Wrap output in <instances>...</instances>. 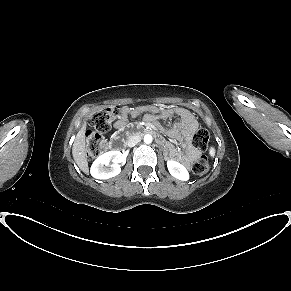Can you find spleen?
<instances>
[{
  "mask_svg": "<svg viewBox=\"0 0 291 291\" xmlns=\"http://www.w3.org/2000/svg\"><path fill=\"white\" fill-rule=\"evenodd\" d=\"M210 155H211V156H214V155H215V149H214V148H211V149H210Z\"/></svg>",
  "mask_w": 291,
  "mask_h": 291,
  "instance_id": "1",
  "label": "spleen"
}]
</instances>
